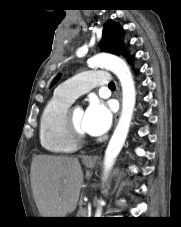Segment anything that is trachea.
<instances>
[{
  "label": "trachea",
  "instance_id": "1",
  "mask_svg": "<svg viewBox=\"0 0 181 227\" xmlns=\"http://www.w3.org/2000/svg\"><path fill=\"white\" fill-rule=\"evenodd\" d=\"M109 88H115L114 82H110V83H109Z\"/></svg>",
  "mask_w": 181,
  "mask_h": 227
}]
</instances>
